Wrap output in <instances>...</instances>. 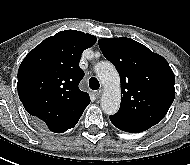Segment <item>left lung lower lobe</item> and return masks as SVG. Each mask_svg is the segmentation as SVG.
I'll return each instance as SVG.
<instances>
[{
  "label": "left lung lower lobe",
  "instance_id": "0a47b994",
  "mask_svg": "<svg viewBox=\"0 0 190 165\" xmlns=\"http://www.w3.org/2000/svg\"><path fill=\"white\" fill-rule=\"evenodd\" d=\"M110 120L114 126H116L118 129L125 131V132L139 133V132L145 131L150 128L149 126L129 124V123H126L124 121H121V120L115 118L114 116H110Z\"/></svg>",
  "mask_w": 190,
  "mask_h": 165
}]
</instances>
